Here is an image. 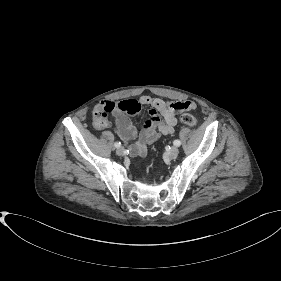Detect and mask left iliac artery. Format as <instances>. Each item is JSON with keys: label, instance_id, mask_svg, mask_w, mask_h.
<instances>
[{"label": "left iliac artery", "instance_id": "1", "mask_svg": "<svg viewBox=\"0 0 281 281\" xmlns=\"http://www.w3.org/2000/svg\"><path fill=\"white\" fill-rule=\"evenodd\" d=\"M173 144H174L175 146L179 147V146L181 145V142H180L179 140H175V141L173 142Z\"/></svg>", "mask_w": 281, "mask_h": 281}]
</instances>
